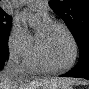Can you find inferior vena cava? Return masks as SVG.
I'll return each instance as SVG.
<instances>
[{"label":"inferior vena cava","mask_w":89,"mask_h":89,"mask_svg":"<svg viewBox=\"0 0 89 89\" xmlns=\"http://www.w3.org/2000/svg\"><path fill=\"white\" fill-rule=\"evenodd\" d=\"M6 72L9 73V74H24V71L23 69L21 68L20 66V62H19V59H18V56L17 54L15 53H12L10 55V58H9V61L7 63V66L5 68Z\"/></svg>","instance_id":"inferior-vena-cava-1"}]
</instances>
